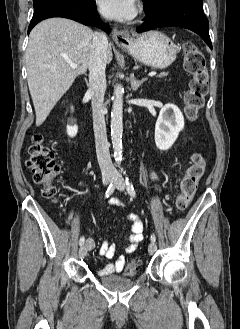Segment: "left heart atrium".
Here are the masks:
<instances>
[{
	"instance_id": "1",
	"label": "left heart atrium",
	"mask_w": 240,
	"mask_h": 329,
	"mask_svg": "<svg viewBox=\"0 0 240 329\" xmlns=\"http://www.w3.org/2000/svg\"><path fill=\"white\" fill-rule=\"evenodd\" d=\"M98 5L105 17L118 21L131 20L137 13L135 0H98Z\"/></svg>"
}]
</instances>
